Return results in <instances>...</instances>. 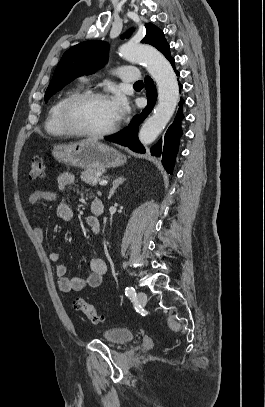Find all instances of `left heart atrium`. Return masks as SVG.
I'll list each match as a JSON object with an SVG mask.
<instances>
[{
	"label": "left heart atrium",
	"instance_id": "left-heart-atrium-1",
	"mask_svg": "<svg viewBox=\"0 0 265 407\" xmlns=\"http://www.w3.org/2000/svg\"><path fill=\"white\" fill-rule=\"evenodd\" d=\"M108 103L116 122L123 119L128 113L129 106L127 100L121 94H116L108 99Z\"/></svg>",
	"mask_w": 265,
	"mask_h": 407
}]
</instances>
